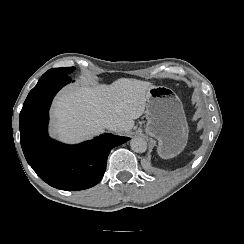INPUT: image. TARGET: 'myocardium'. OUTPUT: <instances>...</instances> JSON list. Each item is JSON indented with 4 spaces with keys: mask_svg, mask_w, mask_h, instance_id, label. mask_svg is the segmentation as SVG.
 Returning <instances> with one entry per match:
<instances>
[{
    "mask_svg": "<svg viewBox=\"0 0 244 244\" xmlns=\"http://www.w3.org/2000/svg\"><path fill=\"white\" fill-rule=\"evenodd\" d=\"M108 169H109V166L107 165L106 170L108 171Z\"/></svg>",
    "mask_w": 244,
    "mask_h": 244,
    "instance_id": "myocardium-1",
    "label": "myocardium"
}]
</instances>
